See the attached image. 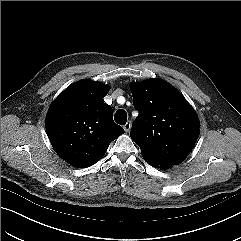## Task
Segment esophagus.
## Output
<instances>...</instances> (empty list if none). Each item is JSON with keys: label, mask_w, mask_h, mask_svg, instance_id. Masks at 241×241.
<instances>
[{"label": "esophagus", "mask_w": 241, "mask_h": 241, "mask_svg": "<svg viewBox=\"0 0 241 241\" xmlns=\"http://www.w3.org/2000/svg\"><path fill=\"white\" fill-rule=\"evenodd\" d=\"M125 132H129L131 129V122L128 121L124 126H123Z\"/></svg>", "instance_id": "esophagus-1"}]
</instances>
